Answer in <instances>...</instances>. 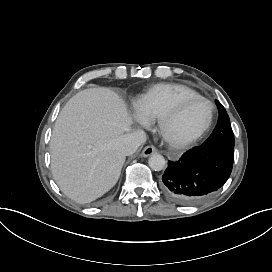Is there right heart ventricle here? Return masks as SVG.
Wrapping results in <instances>:
<instances>
[{"mask_svg": "<svg viewBox=\"0 0 272 272\" xmlns=\"http://www.w3.org/2000/svg\"><path fill=\"white\" fill-rule=\"evenodd\" d=\"M193 95H197V92L186 86L157 85L142 99L138 109L148 117H161L170 114L181 99Z\"/></svg>", "mask_w": 272, "mask_h": 272, "instance_id": "e07e8e85", "label": "right heart ventricle"}]
</instances>
